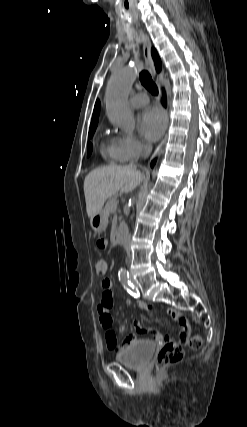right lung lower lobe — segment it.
Segmentation results:
<instances>
[{
	"label": "right lung lower lobe",
	"mask_w": 247,
	"mask_h": 427,
	"mask_svg": "<svg viewBox=\"0 0 247 427\" xmlns=\"http://www.w3.org/2000/svg\"><path fill=\"white\" fill-rule=\"evenodd\" d=\"M163 104H164V105H166V101H165V99H163ZM155 162H156V159H154V160L151 162V167H153V166H154Z\"/></svg>",
	"instance_id": "right-lung-lower-lobe-1"
}]
</instances>
